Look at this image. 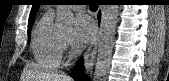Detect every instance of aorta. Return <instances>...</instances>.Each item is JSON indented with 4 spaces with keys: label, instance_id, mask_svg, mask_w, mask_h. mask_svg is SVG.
Instances as JSON below:
<instances>
[{
    "label": "aorta",
    "instance_id": "762f6f07",
    "mask_svg": "<svg viewBox=\"0 0 169 81\" xmlns=\"http://www.w3.org/2000/svg\"><path fill=\"white\" fill-rule=\"evenodd\" d=\"M118 5H103L101 9L100 41L98 45L97 60L94 72V81H106L110 68L114 37L118 21ZM74 16L70 9L59 7L57 9L56 25L60 29L72 28Z\"/></svg>",
    "mask_w": 169,
    "mask_h": 81
}]
</instances>
